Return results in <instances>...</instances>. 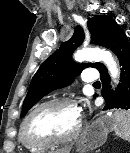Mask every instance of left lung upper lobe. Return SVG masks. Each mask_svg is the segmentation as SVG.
I'll return each mask as SVG.
<instances>
[{"label":"left lung upper lobe","instance_id":"5c2ea615","mask_svg":"<svg viewBox=\"0 0 130 153\" xmlns=\"http://www.w3.org/2000/svg\"><path fill=\"white\" fill-rule=\"evenodd\" d=\"M87 27L91 34V44L106 48L112 37L123 31L117 22L107 15H96L88 18ZM84 37L82 27L77 26L73 36L41 64L31 80L23 102L21 117L45 95L55 89L69 85L84 68L100 69L103 64L99 62L77 64L72 61V53L82 44Z\"/></svg>","mask_w":130,"mask_h":153}]
</instances>
